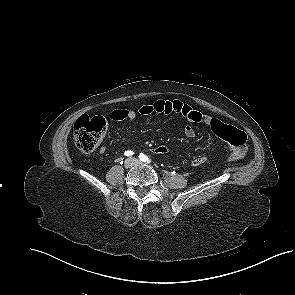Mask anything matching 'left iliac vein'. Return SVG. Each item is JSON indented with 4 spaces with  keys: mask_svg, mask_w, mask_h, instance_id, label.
Returning <instances> with one entry per match:
<instances>
[{
    "mask_svg": "<svg viewBox=\"0 0 295 295\" xmlns=\"http://www.w3.org/2000/svg\"><path fill=\"white\" fill-rule=\"evenodd\" d=\"M132 161H133V163H134L135 165H138V164L141 163V162H140L138 159H136V158H133Z\"/></svg>",
    "mask_w": 295,
    "mask_h": 295,
    "instance_id": "left-iliac-vein-1",
    "label": "left iliac vein"
}]
</instances>
